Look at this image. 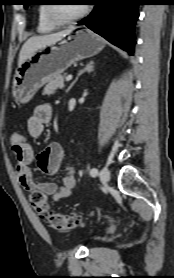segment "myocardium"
<instances>
[{
	"label": "myocardium",
	"mask_w": 174,
	"mask_h": 278,
	"mask_svg": "<svg viewBox=\"0 0 174 278\" xmlns=\"http://www.w3.org/2000/svg\"><path fill=\"white\" fill-rule=\"evenodd\" d=\"M58 5L49 4L46 9L47 17L56 26L74 23L83 18L89 11V6H83L82 10L72 17H62L58 13Z\"/></svg>",
	"instance_id": "1"
}]
</instances>
